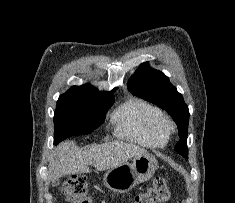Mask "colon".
<instances>
[{"label": "colon", "mask_w": 235, "mask_h": 203, "mask_svg": "<svg viewBox=\"0 0 235 203\" xmlns=\"http://www.w3.org/2000/svg\"><path fill=\"white\" fill-rule=\"evenodd\" d=\"M61 192L69 203H93L88 183L83 176H68L61 186ZM168 198V180L164 177H158L151 186L135 195L131 203H163Z\"/></svg>", "instance_id": "obj_1"}]
</instances>
